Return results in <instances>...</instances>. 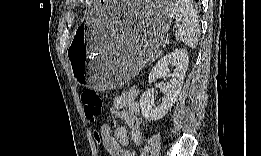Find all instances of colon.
Wrapping results in <instances>:
<instances>
[{
  "instance_id": "obj_1",
  "label": "colon",
  "mask_w": 261,
  "mask_h": 156,
  "mask_svg": "<svg viewBox=\"0 0 261 156\" xmlns=\"http://www.w3.org/2000/svg\"><path fill=\"white\" fill-rule=\"evenodd\" d=\"M81 101L87 120L94 122L102 111L103 100L101 96L94 90H84L81 93Z\"/></svg>"
}]
</instances>
